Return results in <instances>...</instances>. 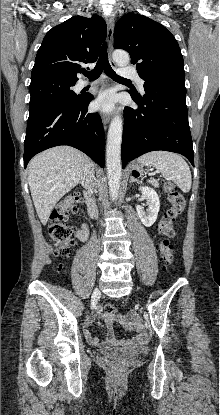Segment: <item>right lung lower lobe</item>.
<instances>
[{
    "instance_id": "obj_1",
    "label": "right lung lower lobe",
    "mask_w": 220,
    "mask_h": 415,
    "mask_svg": "<svg viewBox=\"0 0 220 415\" xmlns=\"http://www.w3.org/2000/svg\"><path fill=\"white\" fill-rule=\"evenodd\" d=\"M93 95L79 96L46 106L29 114L24 141V167L37 153L69 145L104 166L105 133L98 113H89Z\"/></svg>"
}]
</instances>
